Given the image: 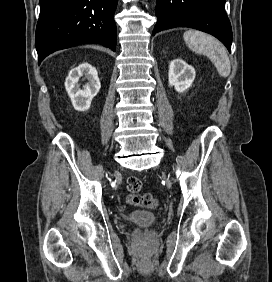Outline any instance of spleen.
<instances>
[{
    "label": "spleen",
    "mask_w": 272,
    "mask_h": 282,
    "mask_svg": "<svg viewBox=\"0 0 272 282\" xmlns=\"http://www.w3.org/2000/svg\"><path fill=\"white\" fill-rule=\"evenodd\" d=\"M183 38L191 51L205 55L213 62L220 76H229L231 71L230 60L225 48L218 40L194 30L186 31Z\"/></svg>",
    "instance_id": "3e777b00"
}]
</instances>
